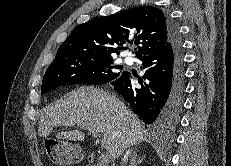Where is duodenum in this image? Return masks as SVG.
I'll list each match as a JSON object with an SVG mask.
<instances>
[{
    "label": "duodenum",
    "instance_id": "obj_1",
    "mask_svg": "<svg viewBox=\"0 0 231 166\" xmlns=\"http://www.w3.org/2000/svg\"><path fill=\"white\" fill-rule=\"evenodd\" d=\"M93 160H94V157H93V156H89V157H88V161H89V162H92Z\"/></svg>",
    "mask_w": 231,
    "mask_h": 166
}]
</instances>
